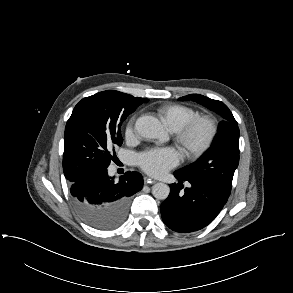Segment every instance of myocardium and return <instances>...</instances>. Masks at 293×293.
I'll return each instance as SVG.
<instances>
[{"instance_id":"f54148a6","label":"myocardium","mask_w":293,"mask_h":293,"mask_svg":"<svg viewBox=\"0 0 293 293\" xmlns=\"http://www.w3.org/2000/svg\"><path fill=\"white\" fill-rule=\"evenodd\" d=\"M200 127L205 129L201 142L194 144L191 141L193 133ZM218 132L217 122L209 115H197L187 121L176 131H173L174 140L188 159H197L205 154L212 146Z\"/></svg>"}]
</instances>
